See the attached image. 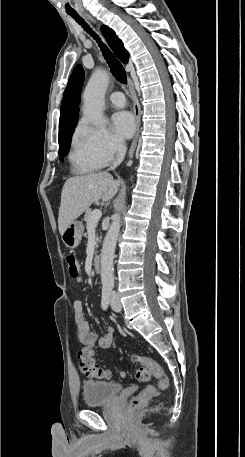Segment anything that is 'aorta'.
<instances>
[{
  "label": "aorta",
  "mask_w": 245,
  "mask_h": 457,
  "mask_svg": "<svg viewBox=\"0 0 245 457\" xmlns=\"http://www.w3.org/2000/svg\"><path fill=\"white\" fill-rule=\"evenodd\" d=\"M108 83V74L97 69L92 73L84 91L83 113L95 126H101L104 123L103 107ZM119 231L120 216L116 214L101 249V281L103 286H113L114 284V254Z\"/></svg>",
  "instance_id": "obj_1"
}]
</instances>
